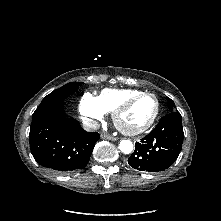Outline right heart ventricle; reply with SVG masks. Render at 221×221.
Here are the masks:
<instances>
[{
  "label": "right heart ventricle",
  "mask_w": 221,
  "mask_h": 221,
  "mask_svg": "<svg viewBox=\"0 0 221 221\" xmlns=\"http://www.w3.org/2000/svg\"><path fill=\"white\" fill-rule=\"evenodd\" d=\"M137 89H104L96 98L104 112H113L125 99L139 94Z\"/></svg>",
  "instance_id": "e07e8e85"
}]
</instances>
